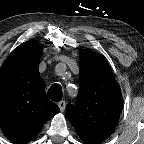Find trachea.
<instances>
[{
	"mask_svg": "<svg viewBox=\"0 0 144 144\" xmlns=\"http://www.w3.org/2000/svg\"><path fill=\"white\" fill-rule=\"evenodd\" d=\"M48 97L54 101L59 102L62 99V88L59 84H53L47 91Z\"/></svg>",
	"mask_w": 144,
	"mask_h": 144,
	"instance_id": "3493384b",
	"label": "trachea"
}]
</instances>
